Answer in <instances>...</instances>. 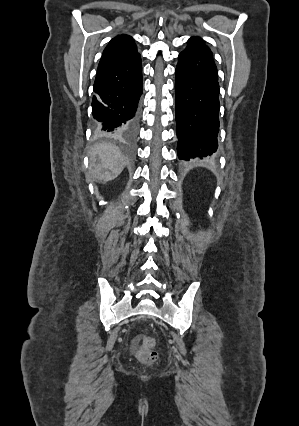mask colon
<instances>
[{
  "mask_svg": "<svg viewBox=\"0 0 299 426\" xmlns=\"http://www.w3.org/2000/svg\"><path fill=\"white\" fill-rule=\"evenodd\" d=\"M138 340L141 342V347L138 352L139 359L148 365H152L158 359V352L155 349V340L151 337L138 336Z\"/></svg>",
  "mask_w": 299,
  "mask_h": 426,
  "instance_id": "1",
  "label": "colon"
}]
</instances>
